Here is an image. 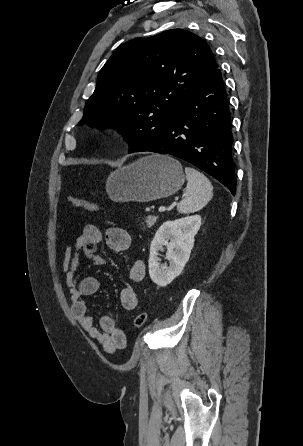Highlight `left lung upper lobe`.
<instances>
[{
    "instance_id": "obj_1",
    "label": "left lung upper lobe",
    "mask_w": 303,
    "mask_h": 446,
    "mask_svg": "<svg viewBox=\"0 0 303 446\" xmlns=\"http://www.w3.org/2000/svg\"><path fill=\"white\" fill-rule=\"evenodd\" d=\"M217 68L210 47L183 29L126 43L102 67L78 125L119 129L133 153L165 130Z\"/></svg>"
}]
</instances>
